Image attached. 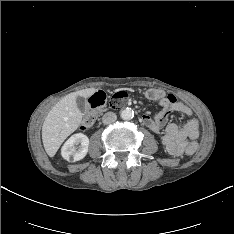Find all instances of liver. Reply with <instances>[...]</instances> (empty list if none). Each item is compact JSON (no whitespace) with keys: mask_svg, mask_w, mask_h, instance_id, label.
<instances>
[{"mask_svg":"<svg viewBox=\"0 0 234 234\" xmlns=\"http://www.w3.org/2000/svg\"><path fill=\"white\" fill-rule=\"evenodd\" d=\"M97 89L87 88L63 97L48 112L42 126V141L46 153L53 157L64 140L72 134L82 121V113L77 107L78 96L88 98Z\"/></svg>","mask_w":234,"mask_h":234,"instance_id":"obj_1","label":"liver"}]
</instances>
